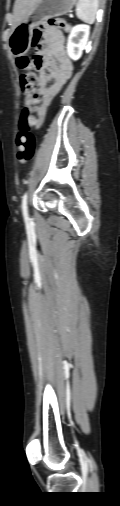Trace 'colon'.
<instances>
[{
	"label": "colon",
	"mask_w": 120,
	"mask_h": 506,
	"mask_svg": "<svg viewBox=\"0 0 120 506\" xmlns=\"http://www.w3.org/2000/svg\"><path fill=\"white\" fill-rule=\"evenodd\" d=\"M69 28L70 26L65 19L60 17L49 18L34 30L32 45H39L41 38L50 30L68 31ZM16 63L24 71L20 77V83L25 95L20 119V131L16 139L17 160L20 163H26L31 160L36 148V139L32 133V126L34 124L33 111L39 101V96L36 92L39 77L33 72V68L37 64L36 58L23 55L17 58Z\"/></svg>",
	"instance_id": "5ec220e1"
}]
</instances>
